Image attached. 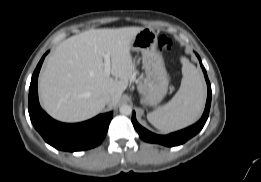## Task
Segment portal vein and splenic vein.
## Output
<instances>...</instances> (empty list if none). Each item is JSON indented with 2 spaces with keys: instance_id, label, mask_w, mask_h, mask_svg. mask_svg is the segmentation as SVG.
I'll return each mask as SVG.
<instances>
[{
  "instance_id": "18ae733b",
  "label": "portal vein and splenic vein",
  "mask_w": 261,
  "mask_h": 182,
  "mask_svg": "<svg viewBox=\"0 0 261 182\" xmlns=\"http://www.w3.org/2000/svg\"><path fill=\"white\" fill-rule=\"evenodd\" d=\"M103 57H104V73L106 76H109L111 72L110 55L109 53H105Z\"/></svg>"
}]
</instances>
